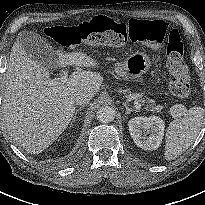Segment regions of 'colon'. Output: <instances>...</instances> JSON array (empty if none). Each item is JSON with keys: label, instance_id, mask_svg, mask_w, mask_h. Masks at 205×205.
Listing matches in <instances>:
<instances>
[{"label": "colon", "instance_id": "1", "mask_svg": "<svg viewBox=\"0 0 205 205\" xmlns=\"http://www.w3.org/2000/svg\"><path fill=\"white\" fill-rule=\"evenodd\" d=\"M47 34L59 45L76 48L80 44L122 47L129 42L157 49L163 43L166 26L159 19L133 18L128 23H118L104 15H97L78 26L53 25ZM167 66L171 74L170 91L179 99L191 93L188 67L184 61L181 36L176 29L168 34Z\"/></svg>", "mask_w": 205, "mask_h": 205}]
</instances>
